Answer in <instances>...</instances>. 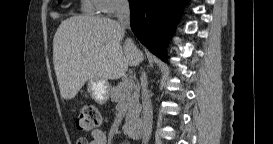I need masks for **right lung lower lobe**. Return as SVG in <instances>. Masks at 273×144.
<instances>
[{
	"label": "right lung lower lobe",
	"mask_w": 273,
	"mask_h": 144,
	"mask_svg": "<svg viewBox=\"0 0 273 144\" xmlns=\"http://www.w3.org/2000/svg\"><path fill=\"white\" fill-rule=\"evenodd\" d=\"M187 0H129L131 29L156 56L166 60V45Z\"/></svg>",
	"instance_id": "1"
}]
</instances>
